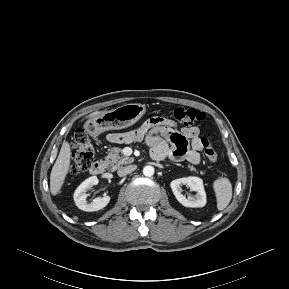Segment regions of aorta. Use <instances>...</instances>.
Returning <instances> with one entry per match:
<instances>
[{"instance_id":"762f6f07","label":"aorta","mask_w":289,"mask_h":289,"mask_svg":"<svg viewBox=\"0 0 289 289\" xmlns=\"http://www.w3.org/2000/svg\"><path fill=\"white\" fill-rule=\"evenodd\" d=\"M143 174L147 177H151L154 174V167L152 166H145L143 168Z\"/></svg>"}]
</instances>
